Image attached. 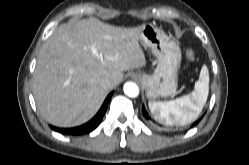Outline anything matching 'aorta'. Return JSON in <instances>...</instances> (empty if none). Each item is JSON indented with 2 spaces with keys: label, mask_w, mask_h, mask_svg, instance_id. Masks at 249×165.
<instances>
[{
  "label": "aorta",
  "mask_w": 249,
  "mask_h": 165,
  "mask_svg": "<svg viewBox=\"0 0 249 165\" xmlns=\"http://www.w3.org/2000/svg\"><path fill=\"white\" fill-rule=\"evenodd\" d=\"M123 91L128 97L135 98L139 95V87L134 82H126L123 86Z\"/></svg>",
  "instance_id": "762f6f07"
}]
</instances>
